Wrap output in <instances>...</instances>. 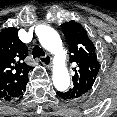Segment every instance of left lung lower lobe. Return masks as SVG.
Returning <instances> with one entry per match:
<instances>
[{
    "mask_svg": "<svg viewBox=\"0 0 117 117\" xmlns=\"http://www.w3.org/2000/svg\"><path fill=\"white\" fill-rule=\"evenodd\" d=\"M58 96L61 97L64 100H68V96L66 92H57Z\"/></svg>",
    "mask_w": 117,
    "mask_h": 117,
    "instance_id": "left-lung-lower-lobe-1",
    "label": "left lung lower lobe"
}]
</instances>
